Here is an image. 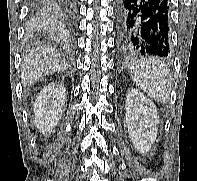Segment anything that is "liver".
I'll use <instances>...</instances> for the list:
<instances>
[{"instance_id":"obj_1","label":"liver","mask_w":197,"mask_h":181,"mask_svg":"<svg viewBox=\"0 0 197 181\" xmlns=\"http://www.w3.org/2000/svg\"><path fill=\"white\" fill-rule=\"evenodd\" d=\"M66 69L65 61L55 49L49 47L33 49L25 56L21 65V82L27 87L43 76Z\"/></svg>"}]
</instances>
